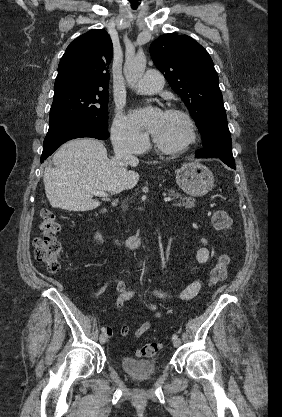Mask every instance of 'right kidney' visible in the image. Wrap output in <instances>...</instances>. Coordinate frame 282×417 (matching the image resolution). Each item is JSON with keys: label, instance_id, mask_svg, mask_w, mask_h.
Here are the masks:
<instances>
[{"label": "right kidney", "instance_id": "obj_1", "mask_svg": "<svg viewBox=\"0 0 282 417\" xmlns=\"http://www.w3.org/2000/svg\"><path fill=\"white\" fill-rule=\"evenodd\" d=\"M95 239H98V241H103L102 235H99V233H97Z\"/></svg>", "mask_w": 282, "mask_h": 417}]
</instances>
